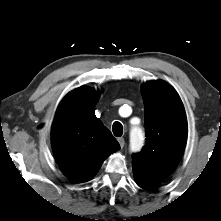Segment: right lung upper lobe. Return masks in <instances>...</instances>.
Instances as JSON below:
<instances>
[{"label":"right lung upper lobe","mask_w":221,"mask_h":221,"mask_svg":"<svg viewBox=\"0 0 221 221\" xmlns=\"http://www.w3.org/2000/svg\"><path fill=\"white\" fill-rule=\"evenodd\" d=\"M98 92L80 87L61 102L52 127V148L62 172L77 182L90 180L103 161L120 149L95 116Z\"/></svg>","instance_id":"obj_1"}]
</instances>
